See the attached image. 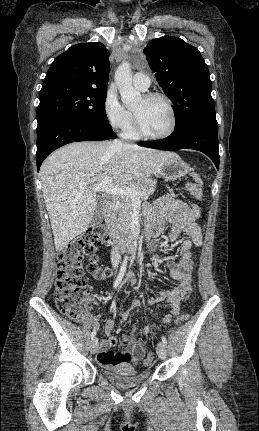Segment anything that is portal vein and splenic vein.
Returning a JSON list of instances; mask_svg holds the SVG:
<instances>
[{
  "instance_id": "portal-vein-and-splenic-vein-1",
  "label": "portal vein and splenic vein",
  "mask_w": 259,
  "mask_h": 431,
  "mask_svg": "<svg viewBox=\"0 0 259 431\" xmlns=\"http://www.w3.org/2000/svg\"><path fill=\"white\" fill-rule=\"evenodd\" d=\"M94 192H106L112 195H120L131 198L132 200H139L142 193L134 188L112 184L111 180H104L101 183L94 184L89 187Z\"/></svg>"
}]
</instances>
